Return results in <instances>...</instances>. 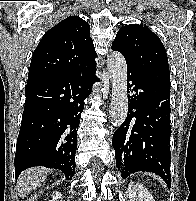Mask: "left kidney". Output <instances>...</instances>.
<instances>
[{"label": "left kidney", "mask_w": 196, "mask_h": 201, "mask_svg": "<svg viewBox=\"0 0 196 201\" xmlns=\"http://www.w3.org/2000/svg\"><path fill=\"white\" fill-rule=\"evenodd\" d=\"M129 201H155L148 190L139 183L130 182L128 185Z\"/></svg>", "instance_id": "1"}]
</instances>
